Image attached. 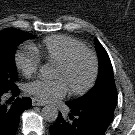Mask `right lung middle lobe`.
Instances as JSON below:
<instances>
[{
    "label": "right lung middle lobe",
    "instance_id": "1",
    "mask_svg": "<svg viewBox=\"0 0 135 135\" xmlns=\"http://www.w3.org/2000/svg\"><path fill=\"white\" fill-rule=\"evenodd\" d=\"M35 36L21 30L9 29L0 32V93L12 91L17 86L15 49L21 42Z\"/></svg>",
    "mask_w": 135,
    "mask_h": 135
}]
</instances>
